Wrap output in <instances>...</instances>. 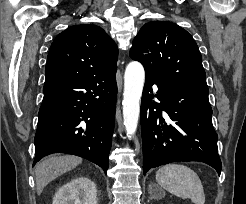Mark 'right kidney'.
Here are the masks:
<instances>
[{
    "instance_id": "ca27d5eb",
    "label": "right kidney",
    "mask_w": 246,
    "mask_h": 204,
    "mask_svg": "<svg viewBox=\"0 0 246 204\" xmlns=\"http://www.w3.org/2000/svg\"><path fill=\"white\" fill-rule=\"evenodd\" d=\"M52 204H97L96 185L86 177H76L59 188Z\"/></svg>"
}]
</instances>
